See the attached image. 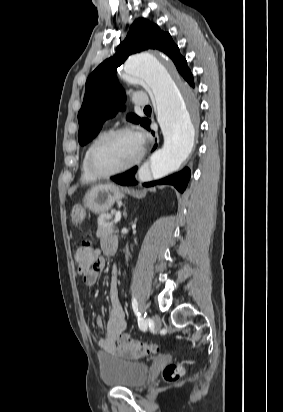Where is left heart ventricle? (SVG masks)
Returning a JSON list of instances; mask_svg holds the SVG:
<instances>
[{"mask_svg":"<svg viewBox=\"0 0 283 412\" xmlns=\"http://www.w3.org/2000/svg\"><path fill=\"white\" fill-rule=\"evenodd\" d=\"M141 145L134 134L126 133L113 137L96 153L94 163L101 172H109L133 161Z\"/></svg>","mask_w":283,"mask_h":412,"instance_id":"b2bd125f","label":"left heart ventricle"}]
</instances>
